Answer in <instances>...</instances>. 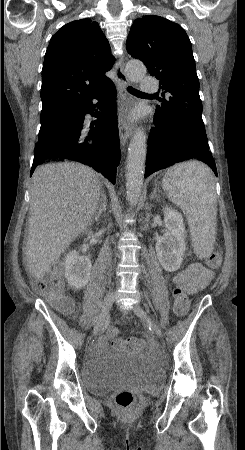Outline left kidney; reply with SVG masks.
I'll return each instance as SVG.
<instances>
[{"instance_id": "5707ae66", "label": "left kidney", "mask_w": 245, "mask_h": 450, "mask_svg": "<svg viewBox=\"0 0 245 450\" xmlns=\"http://www.w3.org/2000/svg\"><path fill=\"white\" fill-rule=\"evenodd\" d=\"M164 224L167 232L155 245L158 260L168 272L177 271L186 250L185 226L182 215L171 208H164Z\"/></svg>"}]
</instances>
